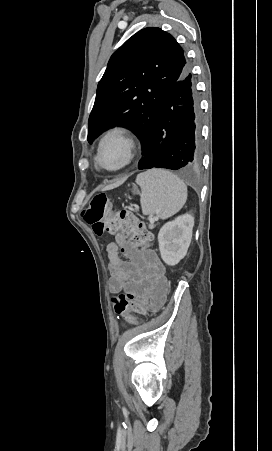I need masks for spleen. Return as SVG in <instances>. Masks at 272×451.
Returning <instances> with one entry per match:
<instances>
[{
    "label": "spleen",
    "instance_id": "1",
    "mask_svg": "<svg viewBox=\"0 0 272 451\" xmlns=\"http://www.w3.org/2000/svg\"><path fill=\"white\" fill-rule=\"evenodd\" d=\"M136 184L141 188V208L144 216L159 214L161 220L177 214L187 200V186L168 170H147L138 174Z\"/></svg>",
    "mask_w": 272,
    "mask_h": 451
}]
</instances>
